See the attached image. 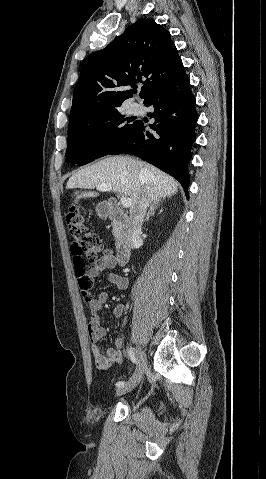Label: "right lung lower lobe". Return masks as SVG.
Here are the masks:
<instances>
[{
	"instance_id": "1",
	"label": "right lung lower lobe",
	"mask_w": 266,
	"mask_h": 479,
	"mask_svg": "<svg viewBox=\"0 0 266 479\" xmlns=\"http://www.w3.org/2000/svg\"><path fill=\"white\" fill-rule=\"evenodd\" d=\"M153 106L155 119L146 131L142 121H135L125 138L109 154L130 153L155 165L176 178L187 196L191 160L190 146L195 141L194 125L197 122L195 98L186 74L157 89L145 101Z\"/></svg>"
}]
</instances>
